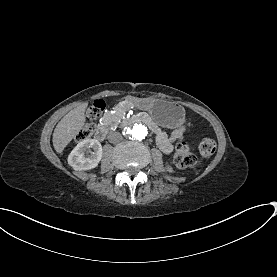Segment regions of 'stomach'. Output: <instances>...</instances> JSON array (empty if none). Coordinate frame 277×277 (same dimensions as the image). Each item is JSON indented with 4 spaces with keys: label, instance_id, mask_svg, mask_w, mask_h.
I'll list each match as a JSON object with an SVG mask.
<instances>
[{
    "label": "stomach",
    "instance_id": "obj_1",
    "mask_svg": "<svg viewBox=\"0 0 277 277\" xmlns=\"http://www.w3.org/2000/svg\"><path fill=\"white\" fill-rule=\"evenodd\" d=\"M134 105L143 110H147L155 122L168 128H177L184 123L185 110L174 102L162 99L132 98Z\"/></svg>",
    "mask_w": 277,
    "mask_h": 277
}]
</instances>
